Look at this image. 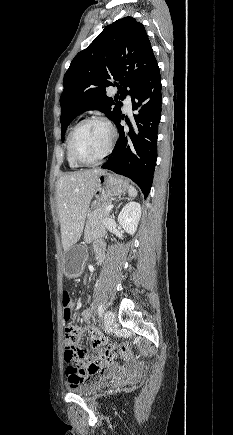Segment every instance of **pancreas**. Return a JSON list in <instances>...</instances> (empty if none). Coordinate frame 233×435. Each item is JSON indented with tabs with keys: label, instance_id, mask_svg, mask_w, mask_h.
Returning a JSON list of instances; mask_svg holds the SVG:
<instances>
[{
	"label": "pancreas",
	"instance_id": "obj_1",
	"mask_svg": "<svg viewBox=\"0 0 233 435\" xmlns=\"http://www.w3.org/2000/svg\"><path fill=\"white\" fill-rule=\"evenodd\" d=\"M109 204V202L101 204L88 215L84 232L87 241L102 237L106 234L105 221L110 214V211H106V208Z\"/></svg>",
	"mask_w": 233,
	"mask_h": 435
}]
</instances>
